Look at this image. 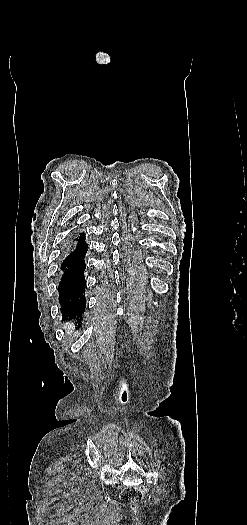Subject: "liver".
Listing matches in <instances>:
<instances>
[{
  "mask_svg": "<svg viewBox=\"0 0 247 525\" xmlns=\"http://www.w3.org/2000/svg\"><path fill=\"white\" fill-rule=\"evenodd\" d=\"M65 327H67V335H71L69 331H72V329H74L73 323H65Z\"/></svg>",
  "mask_w": 247,
  "mask_h": 525,
  "instance_id": "6515ba94",
  "label": "liver"
}]
</instances>
